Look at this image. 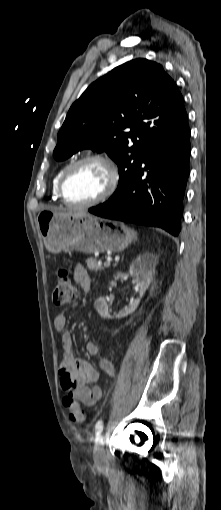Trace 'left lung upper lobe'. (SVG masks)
<instances>
[{
  "label": "left lung upper lobe",
  "mask_w": 221,
  "mask_h": 510,
  "mask_svg": "<svg viewBox=\"0 0 221 510\" xmlns=\"http://www.w3.org/2000/svg\"><path fill=\"white\" fill-rule=\"evenodd\" d=\"M176 83L162 66L135 59L93 82L73 103L58 133L53 156L64 160L90 148L118 165L120 194L156 140L187 125Z\"/></svg>",
  "instance_id": "left-lung-upper-lobe-1"
}]
</instances>
